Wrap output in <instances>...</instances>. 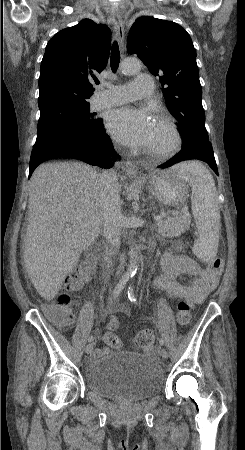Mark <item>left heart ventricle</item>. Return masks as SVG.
I'll return each mask as SVG.
<instances>
[{
  "instance_id": "obj_1",
  "label": "left heart ventricle",
  "mask_w": 245,
  "mask_h": 450,
  "mask_svg": "<svg viewBox=\"0 0 245 450\" xmlns=\"http://www.w3.org/2000/svg\"><path fill=\"white\" fill-rule=\"evenodd\" d=\"M168 142H169L168 133L164 131L160 125L154 123L153 134L148 144V147H161L168 144Z\"/></svg>"
}]
</instances>
